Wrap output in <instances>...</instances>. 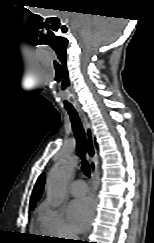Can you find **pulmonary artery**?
I'll use <instances>...</instances> for the list:
<instances>
[{
	"label": "pulmonary artery",
	"instance_id": "1",
	"mask_svg": "<svg viewBox=\"0 0 154 243\" xmlns=\"http://www.w3.org/2000/svg\"><path fill=\"white\" fill-rule=\"evenodd\" d=\"M71 193L74 196H82L87 192V185L84 180H76L71 185Z\"/></svg>",
	"mask_w": 154,
	"mask_h": 243
}]
</instances>
